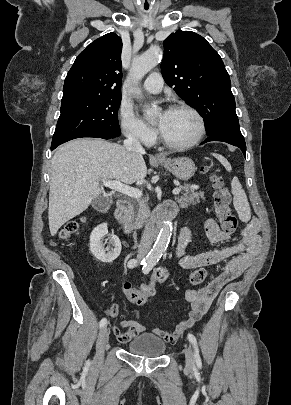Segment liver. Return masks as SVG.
Masks as SVG:
<instances>
[{
  "instance_id": "1",
  "label": "liver",
  "mask_w": 291,
  "mask_h": 405,
  "mask_svg": "<svg viewBox=\"0 0 291 405\" xmlns=\"http://www.w3.org/2000/svg\"><path fill=\"white\" fill-rule=\"evenodd\" d=\"M146 174L142 154L129 152L119 144L92 138L63 144L51 160L48 209L51 235L99 197L100 182L115 179L133 184L142 181Z\"/></svg>"
}]
</instances>
